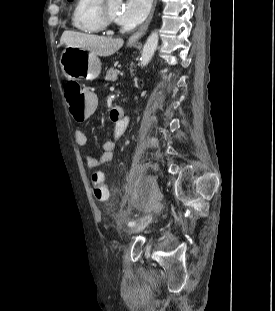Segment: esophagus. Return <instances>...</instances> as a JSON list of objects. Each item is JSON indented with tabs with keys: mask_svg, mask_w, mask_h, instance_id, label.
<instances>
[{
	"mask_svg": "<svg viewBox=\"0 0 275 311\" xmlns=\"http://www.w3.org/2000/svg\"><path fill=\"white\" fill-rule=\"evenodd\" d=\"M156 3H157V0H153V5H152V9H151V12H150V15L148 17V19L146 20V22L140 27V29L135 32L134 34H132L130 36V38L128 39V43L129 44H133V43H136L138 42V40L145 34L152 18H153V14H154V11H155V7H156Z\"/></svg>",
	"mask_w": 275,
	"mask_h": 311,
	"instance_id": "esophagus-1",
	"label": "esophagus"
}]
</instances>
